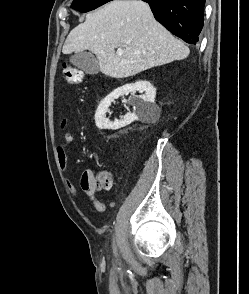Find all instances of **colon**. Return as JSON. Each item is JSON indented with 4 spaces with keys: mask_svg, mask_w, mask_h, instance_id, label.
Segmentation results:
<instances>
[{
    "mask_svg": "<svg viewBox=\"0 0 249 294\" xmlns=\"http://www.w3.org/2000/svg\"><path fill=\"white\" fill-rule=\"evenodd\" d=\"M62 73L65 80L69 84H80L84 79V74L78 68L69 65H62ZM94 185L99 189H110L113 186V178L107 171H100L95 176H92Z\"/></svg>",
    "mask_w": 249,
    "mask_h": 294,
    "instance_id": "5ec220e1",
    "label": "colon"
}]
</instances>
